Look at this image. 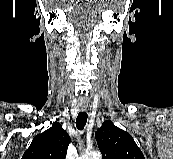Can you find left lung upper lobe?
<instances>
[{"instance_id":"5c2ea615","label":"left lung upper lobe","mask_w":173,"mask_h":159,"mask_svg":"<svg viewBox=\"0 0 173 159\" xmlns=\"http://www.w3.org/2000/svg\"><path fill=\"white\" fill-rule=\"evenodd\" d=\"M95 138L103 159H145L132 136L110 120L103 122Z\"/></svg>"}]
</instances>
